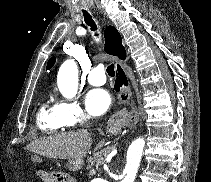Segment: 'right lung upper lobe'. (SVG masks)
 Here are the masks:
<instances>
[{
	"label": "right lung upper lobe",
	"instance_id": "cb5924a9",
	"mask_svg": "<svg viewBox=\"0 0 211 182\" xmlns=\"http://www.w3.org/2000/svg\"><path fill=\"white\" fill-rule=\"evenodd\" d=\"M105 47L106 53L114 56L121 57L125 52L122 46V39L119 32L112 26H109L104 31ZM56 61L55 57H52L47 64V69H51Z\"/></svg>",
	"mask_w": 211,
	"mask_h": 182
}]
</instances>
